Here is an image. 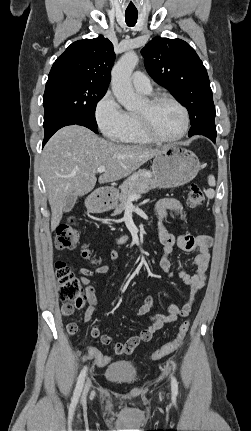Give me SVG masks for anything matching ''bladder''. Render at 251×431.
Segmentation results:
<instances>
[{
  "mask_svg": "<svg viewBox=\"0 0 251 431\" xmlns=\"http://www.w3.org/2000/svg\"><path fill=\"white\" fill-rule=\"evenodd\" d=\"M137 368L131 361L120 360L111 363L104 372V377L113 383L131 384L137 378Z\"/></svg>",
  "mask_w": 251,
  "mask_h": 431,
  "instance_id": "bladder-1",
  "label": "bladder"
}]
</instances>
